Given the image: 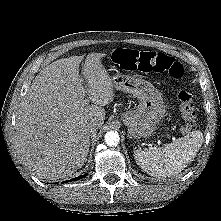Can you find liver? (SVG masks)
I'll return each mask as SVG.
<instances>
[{"instance_id":"6515ba94","label":"liver","mask_w":221,"mask_h":221,"mask_svg":"<svg viewBox=\"0 0 221 221\" xmlns=\"http://www.w3.org/2000/svg\"><path fill=\"white\" fill-rule=\"evenodd\" d=\"M103 56L87 55L85 79L79 74L82 56L54 61L41 70L26 92L18 111L14 148L39 179L71 177L86 161L90 146L87 125H103L104 106L114 96L112 79L101 64Z\"/></svg>"}]
</instances>
